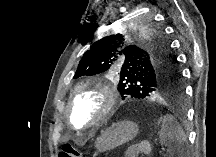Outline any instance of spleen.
<instances>
[{
	"label": "spleen",
	"instance_id": "obj_1",
	"mask_svg": "<svg viewBox=\"0 0 216 157\" xmlns=\"http://www.w3.org/2000/svg\"><path fill=\"white\" fill-rule=\"evenodd\" d=\"M159 139L162 145H165L170 152L178 151L183 155L186 135L181 125L172 115H166L163 119Z\"/></svg>",
	"mask_w": 216,
	"mask_h": 157
}]
</instances>
